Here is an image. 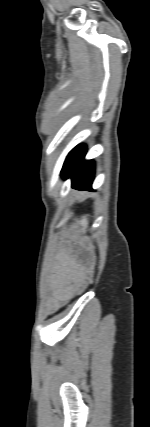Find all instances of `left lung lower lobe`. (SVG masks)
Returning <instances> with one entry per match:
<instances>
[{"label": "left lung lower lobe", "instance_id": "0a47b994", "mask_svg": "<svg viewBox=\"0 0 150 427\" xmlns=\"http://www.w3.org/2000/svg\"><path fill=\"white\" fill-rule=\"evenodd\" d=\"M86 147L84 145L76 146L67 156L61 175L64 179L72 178V187L79 190L91 189L94 177L93 161H85Z\"/></svg>", "mask_w": 150, "mask_h": 427}]
</instances>
